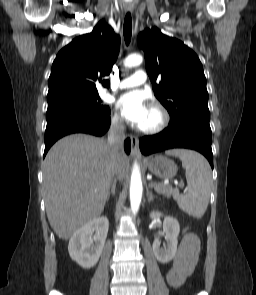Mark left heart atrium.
<instances>
[{
    "instance_id": "1",
    "label": "left heart atrium",
    "mask_w": 256,
    "mask_h": 295,
    "mask_svg": "<svg viewBox=\"0 0 256 295\" xmlns=\"http://www.w3.org/2000/svg\"><path fill=\"white\" fill-rule=\"evenodd\" d=\"M116 105L126 120L138 127L142 126L150 111L146 97L140 92L121 95Z\"/></svg>"
}]
</instances>
